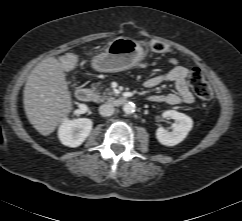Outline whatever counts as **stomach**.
<instances>
[{"instance_id": "0dacf381", "label": "stomach", "mask_w": 242, "mask_h": 221, "mask_svg": "<svg viewBox=\"0 0 242 221\" xmlns=\"http://www.w3.org/2000/svg\"><path fill=\"white\" fill-rule=\"evenodd\" d=\"M146 56L139 42L128 37H118L109 42L104 52L92 58L91 67L98 72H120L138 65L145 66L141 62Z\"/></svg>"}]
</instances>
